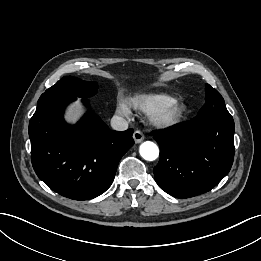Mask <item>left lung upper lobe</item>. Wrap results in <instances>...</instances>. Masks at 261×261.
<instances>
[{
	"instance_id": "5c2ea615",
	"label": "left lung upper lobe",
	"mask_w": 261,
	"mask_h": 261,
	"mask_svg": "<svg viewBox=\"0 0 261 261\" xmlns=\"http://www.w3.org/2000/svg\"><path fill=\"white\" fill-rule=\"evenodd\" d=\"M206 103L198 112L197 119H232L228 112L223 97L220 93L206 84Z\"/></svg>"
}]
</instances>
